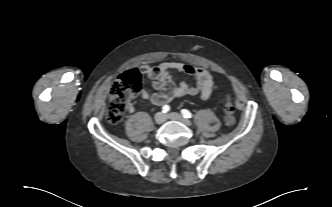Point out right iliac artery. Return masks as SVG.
<instances>
[{
    "instance_id": "82829eb1",
    "label": "right iliac artery",
    "mask_w": 332,
    "mask_h": 207,
    "mask_svg": "<svg viewBox=\"0 0 332 207\" xmlns=\"http://www.w3.org/2000/svg\"><path fill=\"white\" fill-rule=\"evenodd\" d=\"M169 110H170V107H169L168 105H164V106L162 107V112H163V113H167Z\"/></svg>"
}]
</instances>
